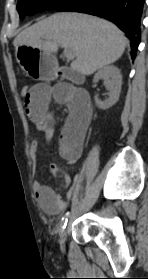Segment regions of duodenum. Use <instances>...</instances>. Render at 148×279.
<instances>
[{"label":"duodenum","instance_id":"duodenum-1","mask_svg":"<svg viewBox=\"0 0 148 279\" xmlns=\"http://www.w3.org/2000/svg\"><path fill=\"white\" fill-rule=\"evenodd\" d=\"M59 76L67 79L71 82H79L83 79L82 75L78 72L73 71L69 67L62 66L59 68Z\"/></svg>","mask_w":148,"mask_h":279}]
</instances>
